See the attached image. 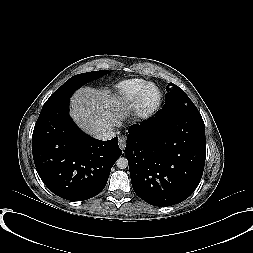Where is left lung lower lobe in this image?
<instances>
[{"label":"left lung lower lobe","mask_w":253,"mask_h":253,"mask_svg":"<svg viewBox=\"0 0 253 253\" xmlns=\"http://www.w3.org/2000/svg\"><path fill=\"white\" fill-rule=\"evenodd\" d=\"M125 155L135 193L154 206L187 199L205 164V126L201 114L164 112L129 127Z\"/></svg>","instance_id":"obj_1"}]
</instances>
